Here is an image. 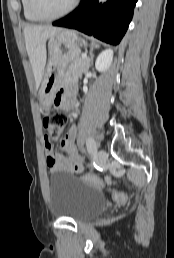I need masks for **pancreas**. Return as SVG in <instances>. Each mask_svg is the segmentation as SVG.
<instances>
[{
    "instance_id": "pancreas-1",
    "label": "pancreas",
    "mask_w": 174,
    "mask_h": 258,
    "mask_svg": "<svg viewBox=\"0 0 174 258\" xmlns=\"http://www.w3.org/2000/svg\"><path fill=\"white\" fill-rule=\"evenodd\" d=\"M89 69V59L81 56L72 60L66 70V79H78Z\"/></svg>"
}]
</instances>
